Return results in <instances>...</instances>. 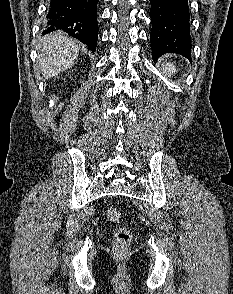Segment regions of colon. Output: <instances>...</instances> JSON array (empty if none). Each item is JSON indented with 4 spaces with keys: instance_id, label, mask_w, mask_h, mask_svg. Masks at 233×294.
I'll return each instance as SVG.
<instances>
[{
    "instance_id": "colon-1",
    "label": "colon",
    "mask_w": 233,
    "mask_h": 294,
    "mask_svg": "<svg viewBox=\"0 0 233 294\" xmlns=\"http://www.w3.org/2000/svg\"><path fill=\"white\" fill-rule=\"evenodd\" d=\"M107 218L114 224H119L122 221V213L118 208H110L107 212ZM131 233L126 228H120L114 235V249L118 254H124L128 250L131 243Z\"/></svg>"
}]
</instances>
